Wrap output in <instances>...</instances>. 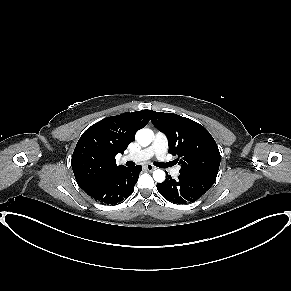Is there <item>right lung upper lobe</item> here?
Here are the masks:
<instances>
[{
    "mask_svg": "<svg viewBox=\"0 0 291 291\" xmlns=\"http://www.w3.org/2000/svg\"><path fill=\"white\" fill-rule=\"evenodd\" d=\"M151 112L141 110L107 117L82 134L71 159L81 189L87 191L125 168L116 165L115 156L123 153L135 133L147 125Z\"/></svg>",
    "mask_w": 291,
    "mask_h": 291,
    "instance_id": "1",
    "label": "right lung upper lobe"
}]
</instances>
